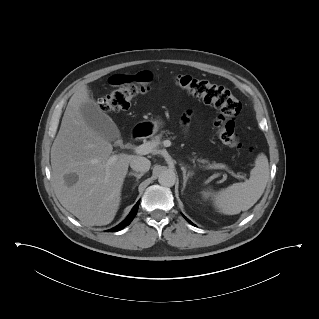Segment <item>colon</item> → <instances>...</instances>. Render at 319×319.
I'll list each match as a JSON object with an SVG mask.
<instances>
[{"label":"colon","instance_id":"1","mask_svg":"<svg viewBox=\"0 0 319 319\" xmlns=\"http://www.w3.org/2000/svg\"><path fill=\"white\" fill-rule=\"evenodd\" d=\"M110 83L116 87L104 97L102 107L112 113L127 111L131 100L152 89L151 79L140 74L134 77L115 75ZM177 86L188 93L201 98L206 104L213 105L219 110L220 115L215 121V131L222 143L230 147L241 146L235 131L234 118L241 111V102L225 86L214 84L189 75H178L175 78Z\"/></svg>","mask_w":319,"mask_h":319}]
</instances>
